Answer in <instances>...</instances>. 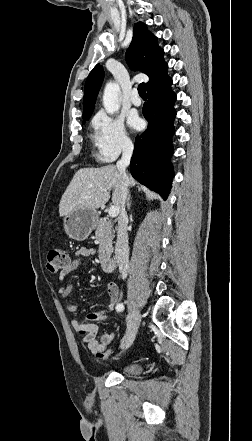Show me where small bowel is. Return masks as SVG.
I'll list each match as a JSON object with an SVG mask.
<instances>
[{
    "label": "small bowel",
    "mask_w": 252,
    "mask_h": 441,
    "mask_svg": "<svg viewBox=\"0 0 252 441\" xmlns=\"http://www.w3.org/2000/svg\"><path fill=\"white\" fill-rule=\"evenodd\" d=\"M94 253L95 251L92 248L83 247L79 249L75 254V258L72 261H69L67 267H65L61 271L59 277L60 283H59L58 291L62 297H68L73 290V285L71 283H65V277L79 267L82 257L91 256ZM107 294H108V299L106 303V309L113 311L116 309V306L118 305V295H119V290L115 283L108 284ZM79 308H80L79 302H74L68 306V310L70 312H76ZM75 326L78 327L76 323ZM97 333H98V328L96 325H93L91 326L89 332L82 339V342L87 345V348L90 350V352L96 356H98L99 353L106 351L109 345L113 342V340L116 337L115 333H106L100 336H98Z\"/></svg>",
    "instance_id": "c3829d8e"
}]
</instances>
